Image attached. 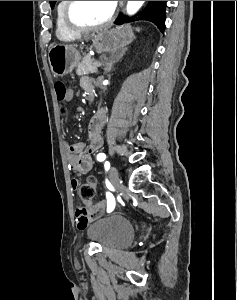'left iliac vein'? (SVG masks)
<instances>
[{
	"instance_id": "left-iliac-vein-1",
	"label": "left iliac vein",
	"mask_w": 237,
	"mask_h": 300,
	"mask_svg": "<svg viewBox=\"0 0 237 300\" xmlns=\"http://www.w3.org/2000/svg\"><path fill=\"white\" fill-rule=\"evenodd\" d=\"M109 176H110V180L115 188H117V189L124 188L122 183L119 180V175H118L116 167H114V166L110 167Z\"/></svg>"
}]
</instances>
